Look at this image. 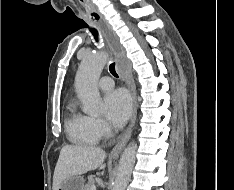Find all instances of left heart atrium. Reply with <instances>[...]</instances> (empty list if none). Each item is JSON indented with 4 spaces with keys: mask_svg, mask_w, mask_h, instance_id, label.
I'll use <instances>...</instances> for the list:
<instances>
[{
    "mask_svg": "<svg viewBox=\"0 0 234 190\" xmlns=\"http://www.w3.org/2000/svg\"><path fill=\"white\" fill-rule=\"evenodd\" d=\"M131 107L130 95L123 89L109 92L104 97L105 115L114 125H122L128 119Z\"/></svg>",
    "mask_w": 234,
    "mask_h": 190,
    "instance_id": "39dd6f15",
    "label": "left heart atrium"
}]
</instances>
